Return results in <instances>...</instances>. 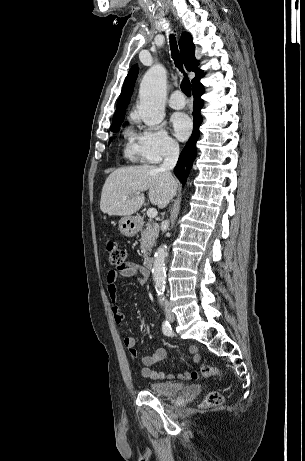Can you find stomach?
I'll return each instance as SVG.
<instances>
[{
    "label": "stomach",
    "instance_id": "1",
    "mask_svg": "<svg viewBox=\"0 0 305 461\" xmlns=\"http://www.w3.org/2000/svg\"><path fill=\"white\" fill-rule=\"evenodd\" d=\"M138 223L135 217L123 216L119 220V230L127 237H132L138 232Z\"/></svg>",
    "mask_w": 305,
    "mask_h": 461
}]
</instances>
